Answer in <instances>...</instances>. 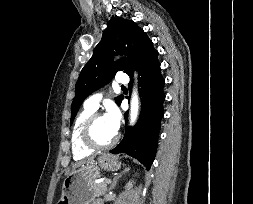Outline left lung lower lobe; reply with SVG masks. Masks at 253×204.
<instances>
[{"label": "left lung lower lobe", "instance_id": "0a47b994", "mask_svg": "<svg viewBox=\"0 0 253 204\" xmlns=\"http://www.w3.org/2000/svg\"><path fill=\"white\" fill-rule=\"evenodd\" d=\"M157 57L158 51L152 46L139 69L142 106L138 123L128 130L119 145L110 151L112 154L126 153L136 158L147 170L155 158L165 100L163 92L165 80L160 73ZM125 120L127 121V112Z\"/></svg>", "mask_w": 253, "mask_h": 204}]
</instances>
